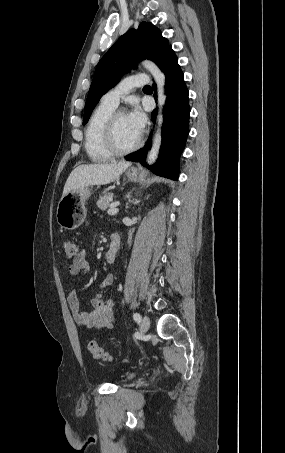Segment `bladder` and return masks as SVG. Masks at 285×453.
<instances>
[{
	"instance_id": "obj_1",
	"label": "bladder",
	"mask_w": 285,
	"mask_h": 453,
	"mask_svg": "<svg viewBox=\"0 0 285 453\" xmlns=\"http://www.w3.org/2000/svg\"><path fill=\"white\" fill-rule=\"evenodd\" d=\"M135 376V373L131 372L129 374L126 375V379H131Z\"/></svg>"
}]
</instances>
